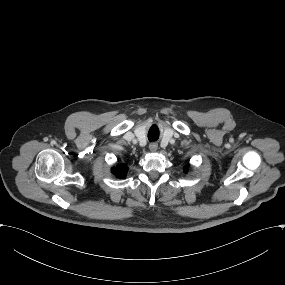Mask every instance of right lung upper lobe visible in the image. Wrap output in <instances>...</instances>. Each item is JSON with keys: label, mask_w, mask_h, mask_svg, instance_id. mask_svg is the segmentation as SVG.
Wrapping results in <instances>:
<instances>
[{"label": "right lung upper lobe", "mask_w": 285, "mask_h": 285, "mask_svg": "<svg viewBox=\"0 0 285 285\" xmlns=\"http://www.w3.org/2000/svg\"><path fill=\"white\" fill-rule=\"evenodd\" d=\"M112 173L118 178H125L127 166L125 164H119L115 168H112Z\"/></svg>", "instance_id": "1"}]
</instances>
